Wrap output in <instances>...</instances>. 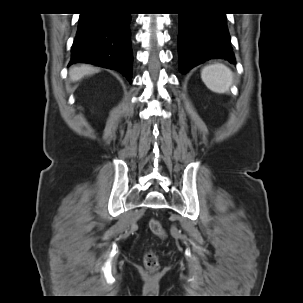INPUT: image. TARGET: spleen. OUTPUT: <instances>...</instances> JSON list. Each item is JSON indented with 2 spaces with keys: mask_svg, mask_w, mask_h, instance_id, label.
<instances>
[{
  "mask_svg": "<svg viewBox=\"0 0 303 303\" xmlns=\"http://www.w3.org/2000/svg\"><path fill=\"white\" fill-rule=\"evenodd\" d=\"M201 78L208 89L215 93H226L233 84V73L224 64L215 63L201 70Z\"/></svg>",
  "mask_w": 303,
  "mask_h": 303,
  "instance_id": "3e777b00",
  "label": "spleen"
}]
</instances>
